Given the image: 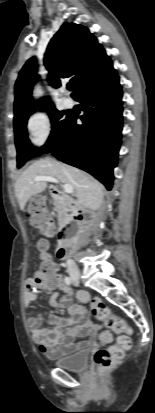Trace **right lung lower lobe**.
<instances>
[{
    "label": "right lung lower lobe",
    "instance_id": "1",
    "mask_svg": "<svg viewBox=\"0 0 155 413\" xmlns=\"http://www.w3.org/2000/svg\"><path fill=\"white\" fill-rule=\"evenodd\" d=\"M121 98L119 77L112 66L73 97L84 111L82 124L68 114L66 124L43 153L52 152L60 161L87 171L110 190L121 143Z\"/></svg>",
    "mask_w": 155,
    "mask_h": 413
}]
</instances>
